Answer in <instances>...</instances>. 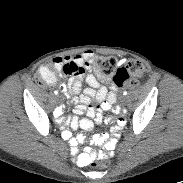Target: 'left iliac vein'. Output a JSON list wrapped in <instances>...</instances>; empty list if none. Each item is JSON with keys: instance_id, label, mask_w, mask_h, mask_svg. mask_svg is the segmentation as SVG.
I'll list each match as a JSON object with an SVG mask.
<instances>
[{"instance_id": "4c4485c4", "label": "left iliac vein", "mask_w": 183, "mask_h": 183, "mask_svg": "<svg viewBox=\"0 0 183 183\" xmlns=\"http://www.w3.org/2000/svg\"><path fill=\"white\" fill-rule=\"evenodd\" d=\"M126 100H125V98H123V102H125Z\"/></svg>"}]
</instances>
